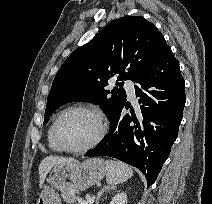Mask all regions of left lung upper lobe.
Returning a JSON list of instances; mask_svg holds the SVG:
<instances>
[{"label":"left lung upper lobe","mask_w":212,"mask_h":204,"mask_svg":"<svg viewBox=\"0 0 212 204\" xmlns=\"http://www.w3.org/2000/svg\"><path fill=\"white\" fill-rule=\"evenodd\" d=\"M169 46L156 26L143 17L113 20L91 41L76 49L57 72L48 95L44 124L71 101L98 104L108 116L126 102L123 80L135 81ZM116 87L107 89V81Z\"/></svg>","instance_id":"left-lung-upper-lobe-1"}]
</instances>
